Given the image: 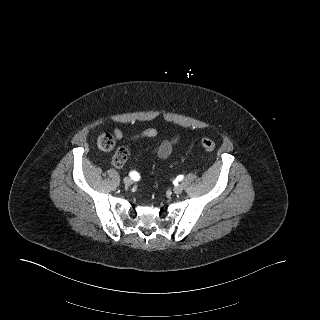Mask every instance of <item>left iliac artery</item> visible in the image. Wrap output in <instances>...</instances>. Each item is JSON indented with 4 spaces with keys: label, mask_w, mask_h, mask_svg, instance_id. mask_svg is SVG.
<instances>
[{
    "label": "left iliac artery",
    "mask_w": 320,
    "mask_h": 320,
    "mask_svg": "<svg viewBox=\"0 0 320 320\" xmlns=\"http://www.w3.org/2000/svg\"><path fill=\"white\" fill-rule=\"evenodd\" d=\"M183 178H184L183 175H179V176H177V179H176V180L181 181V180H183Z\"/></svg>",
    "instance_id": "1"
}]
</instances>
